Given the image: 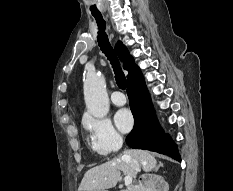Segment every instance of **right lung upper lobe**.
Listing matches in <instances>:
<instances>
[{
	"mask_svg": "<svg viewBox=\"0 0 233 191\" xmlns=\"http://www.w3.org/2000/svg\"><path fill=\"white\" fill-rule=\"evenodd\" d=\"M115 51L119 58L124 62L123 67L129 72V76L137 65L134 64L133 58L130 56L127 48L121 42L116 44Z\"/></svg>",
	"mask_w": 233,
	"mask_h": 191,
	"instance_id": "obj_1",
	"label": "right lung upper lobe"
}]
</instances>
